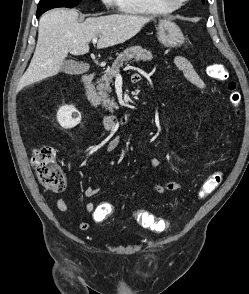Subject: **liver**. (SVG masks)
<instances>
[{
    "label": "liver",
    "mask_w": 249,
    "mask_h": 294,
    "mask_svg": "<svg viewBox=\"0 0 249 294\" xmlns=\"http://www.w3.org/2000/svg\"><path fill=\"white\" fill-rule=\"evenodd\" d=\"M78 17L77 11L67 9H54L42 15L36 49L18 90L57 75L68 53H88L89 42L94 37L99 35L98 49L121 44L151 20L144 16L113 14L87 18L79 23Z\"/></svg>",
    "instance_id": "1"
}]
</instances>
